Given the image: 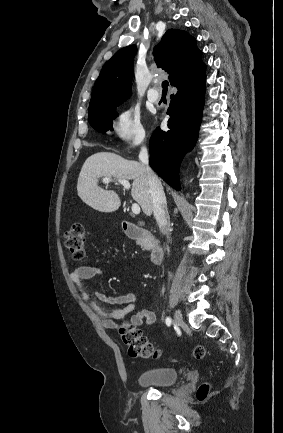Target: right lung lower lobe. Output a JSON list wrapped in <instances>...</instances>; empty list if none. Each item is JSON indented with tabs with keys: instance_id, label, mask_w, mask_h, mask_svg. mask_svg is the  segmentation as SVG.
<instances>
[{
	"instance_id": "1",
	"label": "right lung lower lobe",
	"mask_w": 283,
	"mask_h": 433,
	"mask_svg": "<svg viewBox=\"0 0 283 433\" xmlns=\"http://www.w3.org/2000/svg\"><path fill=\"white\" fill-rule=\"evenodd\" d=\"M206 75L178 88L167 111L169 130L156 128L150 138V166L176 190H180L179 165L197 141L204 106Z\"/></svg>"
}]
</instances>
